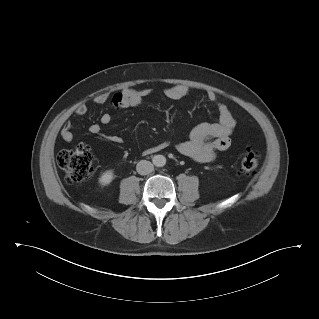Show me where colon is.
<instances>
[{"mask_svg":"<svg viewBox=\"0 0 319 319\" xmlns=\"http://www.w3.org/2000/svg\"><path fill=\"white\" fill-rule=\"evenodd\" d=\"M121 96L116 95L113 105L121 108ZM57 162L65 172L66 179L70 183L88 181L94 172V155L91 149L84 144H79L73 149L64 150L58 154ZM259 164L258 153L246 150L241 154L239 174L246 175L253 172Z\"/></svg>","mask_w":319,"mask_h":319,"instance_id":"5ec220e1","label":"colon"}]
</instances>
